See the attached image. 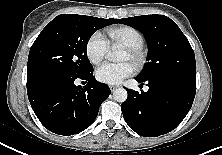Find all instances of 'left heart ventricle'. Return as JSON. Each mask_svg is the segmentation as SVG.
<instances>
[{"label": "left heart ventricle", "instance_id": "obj_1", "mask_svg": "<svg viewBox=\"0 0 222 155\" xmlns=\"http://www.w3.org/2000/svg\"><path fill=\"white\" fill-rule=\"evenodd\" d=\"M121 60L122 61H131V58L129 56V54L124 50L122 56H121Z\"/></svg>", "mask_w": 222, "mask_h": 155}]
</instances>
